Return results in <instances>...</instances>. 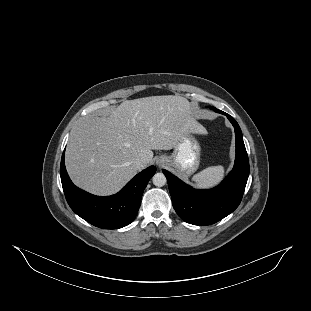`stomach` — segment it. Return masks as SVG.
<instances>
[{
  "mask_svg": "<svg viewBox=\"0 0 311 311\" xmlns=\"http://www.w3.org/2000/svg\"><path fill=\"white\" fill-rule=\"evenodd\" d=\"M200 155L199 141L191 132H188L178 141L170 156L162 155L156 161L165 158L166 163L174 167L179 176L187 178L198 169Z\"/></svg>",
  "mask_w": 311,
  "mask_h": 311,
  "instance_id": "obj_1",
  "label": "stomach"
}]
</instances>
